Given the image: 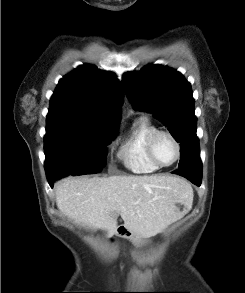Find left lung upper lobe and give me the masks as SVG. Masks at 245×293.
Wrapping results in <instances>:
<instances>
[{
	"instance_id": "left-lung-upper-lobe-1",
	"label": "left lung upper lobe",
	"mask_w": 245,
	"mask_h": 293,
	"mask_svg": "<svg viewBox=\"0 0 245 293\" xmlns=\"http://www.w3.org/2000/svg\"><path fill=\"white\" fill-rule=\"evenodd\" d=\"M122 83L134 108L152 112L181 143L179 169L202 172L194 98L183 75L167 66L148 65L125 73Z\"/></svg>"
}]
</instances>
